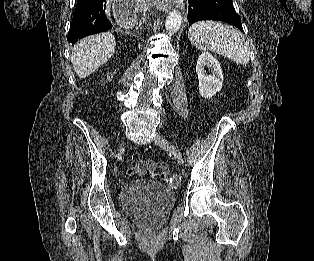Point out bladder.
Returning a JSON list of instances; mask_svg holds the SVG:
<instances>
[{
  "label": "bladder",
  "instance_id": "bladder-1",
  "mask_svg": "<svg viewBox=\"0 0 314 261\" xmlns=\"http://www.w3.org/2000/svg\"><path fill=\"white\" fill-rule=\"evenodd\" d=\"M120 202L128 215L158 224L168 217L175 198L162 183L143 179L124 185L120 191Z\"/></svg>",
  "mask_w": 314,
  "mask_h": 261
}]
</instances>
